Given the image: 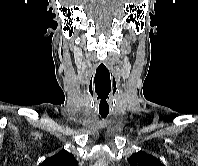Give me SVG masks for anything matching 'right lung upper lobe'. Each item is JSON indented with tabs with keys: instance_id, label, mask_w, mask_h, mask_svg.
I'll return each instance as SVG.
<instances>
[{
	"instance_id": "right-lung-upper-lobe-1",
	"label": "right lung upper lobe",
	"mask_w": 198,
	"mask_h": 166,
	"mask_svg": "<svg viewBox=\"0 0 198 166\" xmlns=\"http://www.w3.org/2000/svg\"><path fill=\"white\" fill-rule=\"evenodd\" d=\"M39 166H78V163L73 154L67 151H61L47 158Z\"/></svg>"
}]
</instances>
